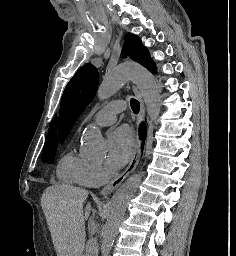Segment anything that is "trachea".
Masks as SVG:
<instances>
[{
    "label": "trachea",
    "instance_id": "1",
    "mask_svg": "<svg viewBox=\"0 0 236 256\" xmlns=\"http://www.w3.org/2000/svg\"><path fill=\"white\" fill-rule=\"evenodd\" d=\"M130 105H131L132 111L134 113H138L140 111V103H139L138 100L131 99L130 100Z\"/></svg>",
    "mask_w": 236,
    "mask_h": 256
}]
</instances>
